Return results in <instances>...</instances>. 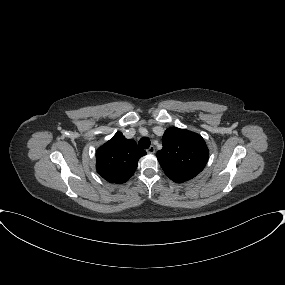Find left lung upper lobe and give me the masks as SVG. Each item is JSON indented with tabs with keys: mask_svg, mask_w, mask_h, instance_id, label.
<instances>
[{
	"mask_svg": "<svg viewBox=\"0 0 285 285\" xmlns=\"http://www.w3.org/2000/svg\"><path fill=\"white\" fill-rule=\"evenodd\" d=\"M163 149L156 156L165 174L173 181H187L198 175L208 161L209 151L197 133L168 128L162 138Z\"/></svg>",
	"mask_w": 285,
	"mask_h": 285,
	"instance_id": "1",
	"label": "left lung upper lobe"
}]
</instances>
